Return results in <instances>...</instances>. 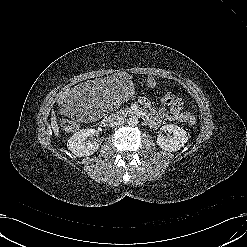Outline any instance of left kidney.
<instances>
[{
    "label": "left kidney",
    "instance_id": "5707ae66",
    "mask_svg": "<svg viewBox=\"0 0 247 247\" xmlns=\"http://www.w3.org/2000/svg\"><path fill=\"white\" fill-rule=\"evenodd\" d=\"M160 129L161 131L168 132L167 136H164L162 132H159L156 141L160 148L165 151H178L188 141L187 132L177 125L167 124L163 125Z\"/></svg>",
    "mask_w": 247,
    "mask_h": 247
}]
</instances>
